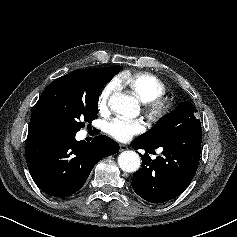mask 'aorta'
I'll return each instance as SVG.
<instances>
[{
	"label": "aorta",
	"mask_w": 237,
	"mask_h": 237,
	"mask_svg": "<svg viewBox=\"0 0 237 237\" xmlns=\"http://www.w3.org/2000/svg\"><path fill=\"white\" fill-rule=\"evenodd\" d=\"M108 105L113 112L127 118H134L139 114L138 101L122 93H114L109 98ZM140 164V156L134 151H124L118 156V165L124 172H135L139 169Z\"/></svg>",
	"instance_id": "762f6f07"
}]
</instances>
